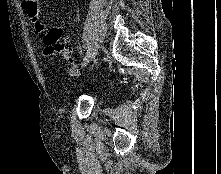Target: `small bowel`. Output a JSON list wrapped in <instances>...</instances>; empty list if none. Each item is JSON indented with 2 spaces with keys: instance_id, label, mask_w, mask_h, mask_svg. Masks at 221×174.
<instances>
[{
  "instance_id": "1",
  "label": "small bowel",
  "mask_w": 221,
  "mask_h": 174,
  "mask_svg": "<svg viewBox=\"0 0 221 174\" xmlns=\"http://www.w3.org/2000/svg\"><path fill=\"white\" fill-rule=\"evenodd\" d=\"M24 7L35 32L39 34L44 33L46 31V25L44 24V22L42 21L40 17L38 0H24ZM53 29H58L62 33L61 27H55ZM49 32L44 36V39H43V43H44L43 54L46 57L56 54V52L54 51L55 43L53 41H50L48 37Z\"/></svg>"
}]
</instances>
